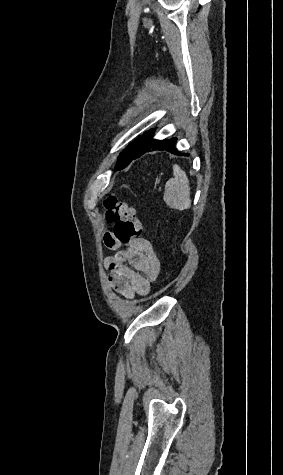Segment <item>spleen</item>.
I'll list each match as a JSON object with an SVG mask.
<instances>
[{
	"label": "spleen",
	"instance_id": "3e777b00",
	"mask_svg": "<svg viewBox=\"0 0 283 475\" xmlns=\"http://www.w3.org/2000/svg\"><path fill=\"white\" fill-rule=\"evenodd\" d=\"M173 176L174 178L166 182L163 200L174 210H180V212L189 210L191 206L189 180L177 164L173 166Z\"/></svg>",
	"mask_w": 283,
	"mask_h": 475
}]
</instances>
